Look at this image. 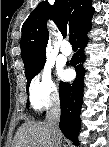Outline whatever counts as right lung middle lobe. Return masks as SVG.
<instances>
[{"instance_id":"right-lung-middle-lobe-1","label":"right lung middle lobe","mask_w":109,"mask_h":147,"mask_svg":"<svg viewBox=\"0 0 109 147\" xmlns=\"http://www.w3.org/2000/svg\"><path fill=\"white\" fill-rule=\"evenodd\" d=\"M44 63H45V57L36 66H32V67L25 69V76H26V79H27V90H28V87H29V84H30L29 82L32 80V78L35 75H37L41 71V69L44 66ZM27 107H29V103H27Z\"/></svg>"}]
</instances>
